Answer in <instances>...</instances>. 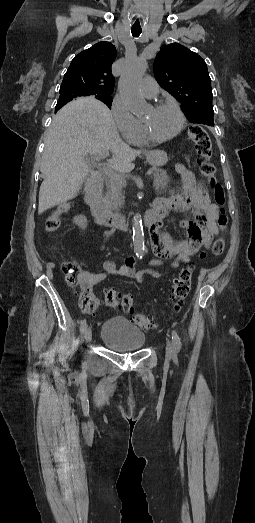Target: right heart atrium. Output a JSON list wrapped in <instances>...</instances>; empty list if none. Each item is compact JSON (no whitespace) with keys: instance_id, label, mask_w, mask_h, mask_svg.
<instances>
[{"instance_id":"obj_1","label":"right heart atrium","mask_w":255,"mask_h":523,"mask_svg":"<svg viewBox=\"0 0 255 523\" xmlns=\"http://www.w3.org/2000/svg\"><path fill=\"white\" fill-rule=\"evenodd\" d=\"M109 111L120 135L124 139H128L139 125L136 117L119 95L113 98Z\"/></svg>"}]
</instances>
